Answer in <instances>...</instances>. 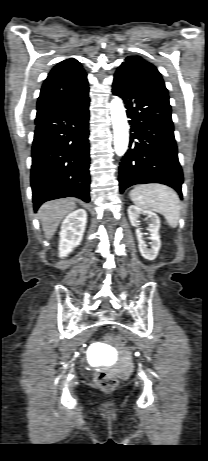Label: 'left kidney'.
<instances>
[{
	"label": "left kidney",
	"mask_w": 208,
	"mask_h": 461,
	"mask_svg": "<svg viewBox=\"0 0 208 461\" xmlns=\"http://www.w3.org/2000/svg\"><path fill=\"white\" fill-rule=\"evenodd\" d=\"M140 215H147V218L150 220L148 231L150 233L149 239L151 240L150 248H148L146 242L143 238V233L140 228L136 229V236L139 243V250L141 255L147 260H153L157 257L158 251L161 246L159 229H160V219L158 215L152 211L141 209L137 206L131 205L128 208V216L132 226H139V217Z\"/></svg>",
	"instance_id": "1"
}]
</instances>
